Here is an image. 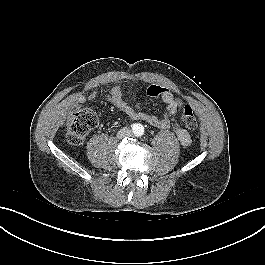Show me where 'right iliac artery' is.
I'll return each instance as SVG.
<instances>
[{"instance_id":"1","label":"right iliac artery","mask_w":265,"mask_h":265,"mask_svg":"<svg viewBox=\"0 0 265 265\" xmlns=\"http://www.w3.org/2000/svg\"><path fill=\"white\" fill-rule=\"evenodd\" d=\"M131 127H132L133 130H135V129L138 128V125L133 124Z\"/></svg>"}]
</instances>
